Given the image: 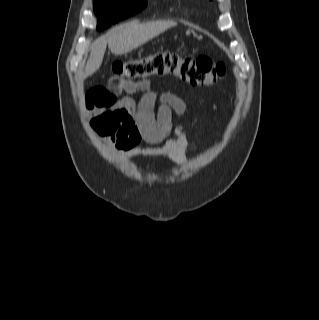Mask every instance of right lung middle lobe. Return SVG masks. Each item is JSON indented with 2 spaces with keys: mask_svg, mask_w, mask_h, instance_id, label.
Wrapping results in <instances>:
<instances>
[{
  "mask_svg": "<svg viewBox=\"0 0 319 320\" xmlns=\"http://www.w3.org/2000/svg\"><path fill=\"white\" fill-rule=\"evenodd\" d=\"M147 5V2L137 0H94V12L99 22L97 29L103 30L111 24L132 16Z\"/></svg>",
  "mask_w": 319,
  "mask_h": 320,
  "instance_id": "right-lung-middle-lobe-1",
  "label": "right lung middle lobe"
}]
</instances>
